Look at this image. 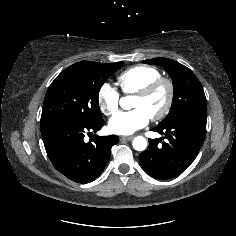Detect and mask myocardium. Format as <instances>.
I'll use <instances>...</instances> for the list:
<instances>
[{
	"mask_svg": "<svg viewBox=\"0 0 236 236\" xmlns=\"http://www.w3.org/2000/svg\"><path fill=\"white\" fill-rule=\"evenodd\" d=\"M161 87H164L166 89V100L161 111H159L158 113L150 117L151 120L153 121L162 120L169 114L172 108L174 96H175V86H174L173 81L167 77H160L150 82L145 87H143L142 89H140L138 92L135 93V96L137 97L147 98Z\"/></svg>",
	"mask_w": 236,
	"mask_h": 236,
	"instance_id": "1",
	"label": "myocardium"
}]
</instances>
